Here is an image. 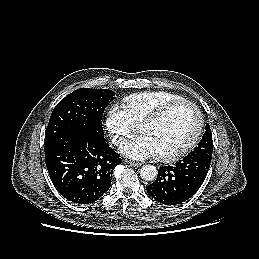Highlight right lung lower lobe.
<instances>
[{
	"instance_id": "1",
	"label": "right lung lower lobe",
	"mask_w": 259,
	"mask_h": 259,
	"mask_svg": "<svg viewBox=\"0 0 259 259\" xmlns=\"http://www.w3.org/2000/svg\"><path fill=\"white\" fill-rule=\"evenodd\" d=\"M45 145L49 176L66 199L89 204L111 185L112 172L121 158L103 138L83 132L64 134Z\"/></svg>"
}]
</instances>
